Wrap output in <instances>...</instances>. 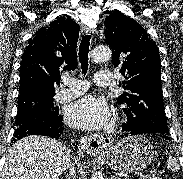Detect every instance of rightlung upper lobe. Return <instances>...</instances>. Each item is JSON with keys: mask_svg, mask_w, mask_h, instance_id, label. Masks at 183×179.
I'll return each instance as SVG.
<instances>
[{"mask_svg": "<svg viewBox=\"0 0 183 179\" xmlns=\"http://www.w3.org/2000/svg\"><path fill=\"white\" fill-rule=\"evenodd\" d=\"M79 31L75 21L60 17L35 33L22 55L19 97L55 94L54 83L62 72L77 67Z\"/></svg>", "mask_w": 183, "mask_h": 179, "instance_id": "obj_1", "label": "right lung upper lobe"}]
</instances>
